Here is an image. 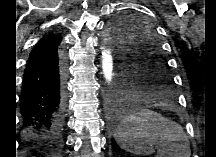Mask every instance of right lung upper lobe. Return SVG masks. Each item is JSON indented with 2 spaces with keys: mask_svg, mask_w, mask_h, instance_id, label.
I'll return each mask as SVG.
<instances>
[{
  "mask_svg": "<svg viewBox=\"0 0 216 157\" xmlns=\"http://www.w3.org/2000/svg\"><path fill=\"white\" fill-rule=\"evenodd\" d=\"M60 42L61 38L53 33H49L43 37L30 53L27 65L53 51H56Z\"/></svg>",
  "mask_w": 216,
  "mask_h": 157,
  "instance_id": "1",
  "label": "right lung upper lobe"
}]
</instances>
